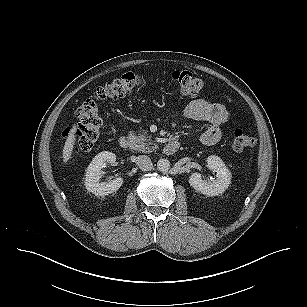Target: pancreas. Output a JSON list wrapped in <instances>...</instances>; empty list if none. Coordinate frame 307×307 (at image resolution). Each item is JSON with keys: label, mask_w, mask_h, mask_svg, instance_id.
Instances as JSON below:
<instances>
[{"label": "pancreas", "mask_w": 307, "mask_h": 307, "mask_svg": "<svg viewBox=\"0 0 307 307\" xmlns=\"http://www.w3.org/2000/svg\"><path fill=\"white\" fill-rule=\"evenodd\" d=\"M145 133L139 134L138 136L130 134V137L134 138V143H135L134 150L143 153H150L153 150H155L158 146L154 141L151 140V136H146Z\"/></svg>", "instance_id": "obj_1"}]
</instances>
